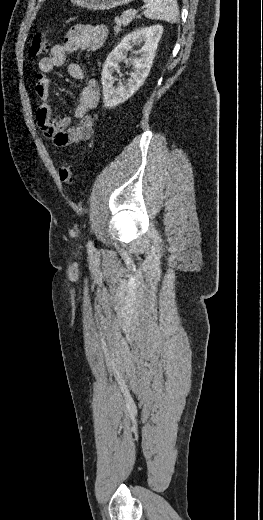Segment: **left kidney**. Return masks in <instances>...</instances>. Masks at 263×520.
Returning <instances> with one entry per match:
<instances>
[{"mask_svg":"<svg viewBox=\"0 0 263 520\" xmlns=\"http://www.w3.org/2000/svg\"><path fill=\"white\" fill-rule=\"evenodd\" d=\"M163 33L161 25L135 30L126 35L118 46L107 57L102 71L103 100L106 108H113L131 97L147 78L157 49L158 42ZM140 46L136 52L140 57L127 59L128 51L134 46ZM126 60L131 63L134 71L125 84L114 87V73L119 68V63Z\"/></svg>","mask_w":263,"mask_h":520,"instance_id":"1","label":"left kidney"}]
</instances>
